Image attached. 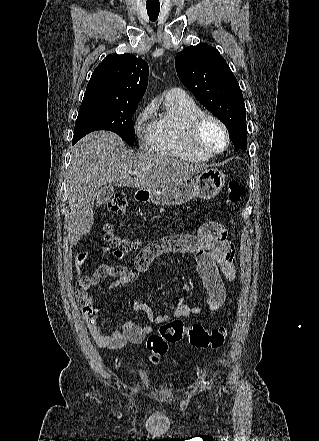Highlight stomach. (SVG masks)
I'll return each mask as SVG.
<instances>
[{"label": "stomach", "mask_w": 319, "mask_h": 441, "mask_svg": "<svg viewBox=\"0 0 319 441\" xmlns=\"http://www.w3.org/2000/svg\"><path fill=\"white\" fill-rule=\"evenodd\" d=\"M224 184L225 174L223 171L209 168L202 170L196 180L189 178L171 187L149 192L147 190L143 191L149 193L150 200L156 205H181L189 202L194 197L201 199L214 198L222 190Z\"/></svg>", "instance_id": "obj_1"}]
</instances>
